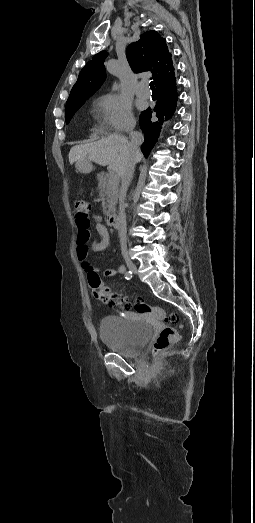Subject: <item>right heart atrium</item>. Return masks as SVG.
<instances>
[{"label": "right heart atrium", "instance_id": "obj_1", "mask_svg": "<svg viewBox=\"0 0 255 523\" xmlns=\"http://www.w3.org/2000/svg\"><path fill=\"white\" fill-rule=\"evenodd\" d=\"M99 105L110 131H129L135 124L129 103L117 95L106 94L99 98Z\"/></svg>", "mask_w": 255, "mask_h": 523}]
</instances>
